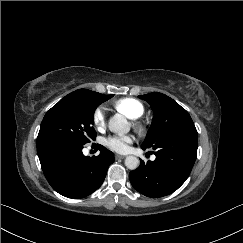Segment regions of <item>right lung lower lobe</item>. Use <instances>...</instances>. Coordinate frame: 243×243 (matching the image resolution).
<instances>
[{
    "label": "right lung lower lobe",
    "instance_id": "obj_1",
    "mask_svg": "<svg viewBox=\"0 0 243 243\" xmlns=\"http://www.w3.org/2000/svg\"><path fill=\"white\" fill-rule=\"evenodd\" d=\"M95 146L100 154L92 157L83 155V145L73 143H49L37 147L43 173L55 191L78 199L102 185L114 156L105 147Z\"/></svg>",
    "mask_w": 243,
    "mask_h": 243
}]
</instances>
